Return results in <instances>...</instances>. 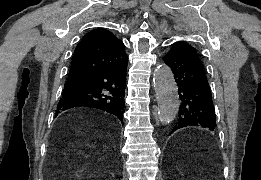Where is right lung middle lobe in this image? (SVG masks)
I'll use <instances>...</instances> for the list:
<instances>
[{
	"label": "right lung middle lobe",
	"instance_id": "dd1d6c3e",
	"mask_svg": "<svg viewBox=\"0 0 261 180\" xmlns=\"http://www.w3.org/2000/svg\"><path fill=\"white\" fill-rule=\"evenodd\" d=\"M82 83H65V87H64V91L63 93H68L71 91H74L76 89H78L79 87H81Z\"/></svg>",
	"mask_w": 261,
	"mask_h": 180
}]
</instances>
